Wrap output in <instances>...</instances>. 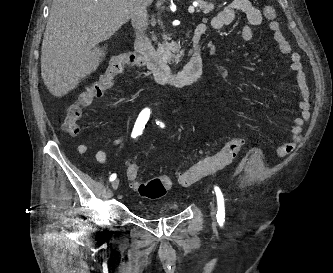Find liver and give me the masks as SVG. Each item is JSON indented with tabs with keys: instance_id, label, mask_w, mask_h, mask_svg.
I'll list each match as a JSON object with an SVG mask.
<instances>
[{
	"instance_id": "6515ba94",
	"label": "liver",
	"mask_w": 333,
	"mask_h": 273,
	"mask_svg": "<svg viewBox=\"0 0 333 273\" xmlns=\"http://www.w3.org/2000/svg\"><path fill=\"white\" fill-rule=\"evenodd\" d=\"M147 6L153 0H145ZM130 19L128 0H53L41 50V75L49 92L62 97L98 68L97 47Z\"/></svg>"
}]
</instances>
